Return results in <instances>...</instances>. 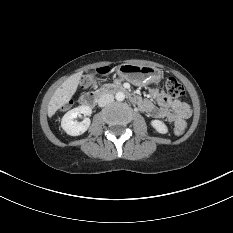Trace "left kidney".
<instances>
[{"label": "left kidney", "instance_id": "1", "mask_svg": "<svg viewBox=\"0 0 233 233\" xmlns=\"http://www.w3.org/2000/svg\"><path fill=\"white\" fill-rule=\"evenodd\" d=\"M151 125L160 134H166L168 132L167 126L160 120H152Z\"/></svg>", "mask_w": 233, "mask_h": 233}]
</instances>
